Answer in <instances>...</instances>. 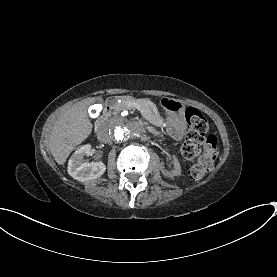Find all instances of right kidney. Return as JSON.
I'll return each mask as SVG.
<instances>
[{"label": "right kidney", "instance_id": "right-kidney-1", "mask_svg": "<svg viewBox=\"0 0 277 277\" xmlns=\"http://www.w3.org/2000/svg\"><path fill=\"white\" fill-rule=\"evenodd\" d=\"M91 145L86 144L77 149L68 161V174L74 179L84 182L96 179L104 174L106 166L103 162H86L84 156H90Z\"/></svg>", "mask_w": 277, "mask_h": 277}]
</instances>
